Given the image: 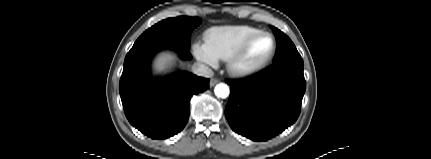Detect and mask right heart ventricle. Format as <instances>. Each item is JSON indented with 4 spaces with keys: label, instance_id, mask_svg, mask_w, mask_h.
Segmentation results:
<instances>
[{
    "label": "right heart ventricle",
    "instance_id": "1",
    "mask_svg": "<svg viewBox=\"0 0 431 159\" xmlns=\"http://www.w3.org/2000/svg\"><path fill=\"white\" fill-rule=\"evenodd\" d=\"M257 31L258 28L250 25L213 27L205 32L204 40L218 59L226 60L246 37Z\"/></svg>",
    "mask_w": 431,
    "mask_h": 159
}]
</instances>
